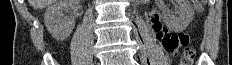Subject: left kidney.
Returning a JSON list of instances; mask_svg holds the SVG:
<instances>
[{"instance_id": "5707ae66", "label": "left kidney", "mask_w": 232, "mask_h": 65, "mask_svg": "<svg viewBox=\"0 0 232 65\" xmlns=\"http://www.w3.org/2000/svg\"><path fill=\"white\" fill-rule=\"evenodd\" d=\"M194 10L188 0H176L175 10L167 9L163 13L165 24L173 31H183L191 23Z\"/></svg>"}]
</instances>
